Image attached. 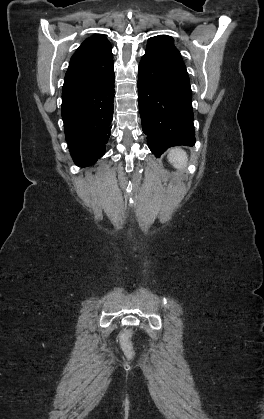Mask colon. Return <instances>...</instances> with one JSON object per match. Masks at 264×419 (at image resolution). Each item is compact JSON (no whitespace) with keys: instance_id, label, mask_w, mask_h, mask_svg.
I'll use <instances>...</instances> for the list:
<instances>
[{"instance_id":"obj_1","label":"colon","mask_w":264,"mask_h":419,"mask_svg":"<svg viewBox=\"0 0 264 419\" xmlns=\"http://www.w3.org/2000/svg\"><path fill=\"white\" fill-rule=\"evenodd\" d=\"M133 336V331L131 329H126L122 332L120 336V343L123 350L124 355L127 358H132L134 356L133 348L131 339Z\"/></svg>"}]
</instances>
